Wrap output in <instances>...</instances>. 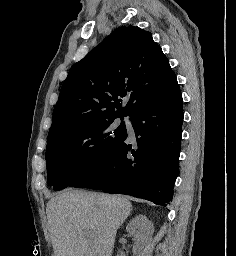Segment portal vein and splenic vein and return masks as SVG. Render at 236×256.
<instances>
[{
    "mask_svg": "<svg viewBox=\"0 0 236 256\" xmlns=\"http://www.w3.org/2000/svg\"><path fill=\"white\" fill-rule=\"evenodd\" d=\"M85 238H87V240H88V236H86V234H85ZM88 246H89V244H88Z\"/></svg>",
    "mask_w": 236,
    "mask_h": 256,
    "instance_id": "obj_1",
    "label": "portal vein and splenic vein"
}]
</instances>
